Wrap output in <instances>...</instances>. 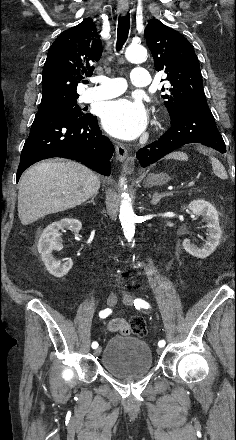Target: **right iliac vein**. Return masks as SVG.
<instances>
[{
  "instance_id": "right-iliac-vein-1",
  "label": "right iliac vein",
  "mask_w": 236,
  "mask_h": 440,
  "mask_svg": "<svg viewBox=\"0 0 236 440\" xmlns=\"http://www.w3.org/2000/svg\"><path fill=\"white\" fill-rule=\"evenodd\" d=\"M117 303V297L115 294H110L107 298V305L110 307L115 306ZM101 352V347H98L95 351H94V355H99Z\"/></svg>"
}]
</instances>
